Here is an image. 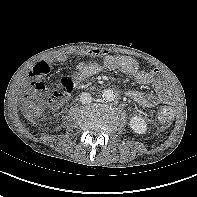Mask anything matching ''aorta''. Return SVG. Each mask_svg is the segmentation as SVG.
Here are the masks:
<instances>
[{
	"label": "aorta",
	"instance_id": "762f6f07",
	"mask_svg": "<svg viewBox=\"0 0 197 197\" xmlns=\"http://www.w3.org/2000/svg\"><path fill=\"white\" fill-rule=\"evenodd\" d=\"M102 98L104 101L106 102H111L114 100L115 98V95H114V92L113 90L111 89H107V90H104L103 94H102Z\"/></svg>",
	"mask_w": 197,
	"mask_h": 197
}]
</instances>
